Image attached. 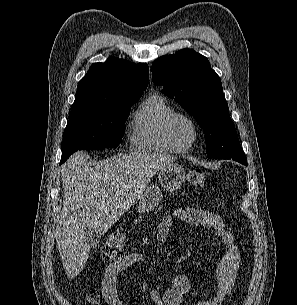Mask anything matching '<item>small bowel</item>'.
<instances>
[{"mask_svg":"<svg viewBox=\"0 0 297 305\" xmlns=\"http://www.w3.org/2000/svg\"><path fill=\"white\" fill-rule=\"evenodd\" d=\"M174 221L185 222L191 226H201L214 230L225 247V254L216 268L215 282L210 288L211 298L201 300L196 305H224L231 294L238 269L240 267V250L233 235L227 230L222 218L206 208L189 207L177 208L166 216L159 224L157 240L165 244L171 225ZM143 257L138 252L126 254L121 260L105 269L100 290H92L86 297V305H101L103 300L108 305H124L117 289L118 276L127 269L141 263ZM188 277L176 275L171 288L161 295L152 290L150 295L156 305H180L184 296L190 292Z\"/></svg>","mask_w":297,"mask_h":305,"instance_id":"c3829d8e","label":"small bowel"}]
</instances>
